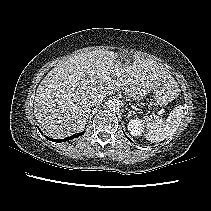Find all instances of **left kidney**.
<instances>
[{
    "mask_svg": "<svg viewBox=\"0 0 211 211\" xmlns=\"http://www.w3.org/2000/svg\"><path fill=\"white\" fill-rule=\"evenodd\" d=\"M127 129L134 137H141L144 130V123L140 119H131L127 125Z\"/></svg>",
    "mask_w": 211,
    "mask_h": 211,
    "instance_id": "1",
    "label": "left kidney"
}]
</instances>
